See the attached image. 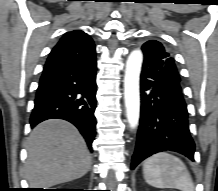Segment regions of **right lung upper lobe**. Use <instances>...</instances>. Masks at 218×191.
<instances>
[{
	"label": "right lung upper lobe",
	"mask_w": 218,
	"mask_h": 191,
	"mask_svg": "<svg viewBox=\"0 0 218 191\" xmlns=\"http://www.w3.org/2000/svg\"><path fill=\"white\" fill-rule=\"evenodd\" d=\"M67 34L74 35V36L81 37V38H88L89 37L85 32H83L81 30H75L72 32H68Z\"/></svg>",
	"instance_id": "cb5924a9"
}]
</instances>
